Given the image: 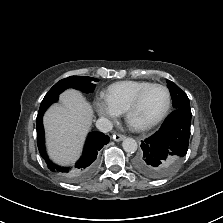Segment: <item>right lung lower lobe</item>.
I'll list each match as a JSON object with an SVG mask.
<instances>
[{
  "instance_id": "right-lung-lower-lobe-1",
  "label": "right lung lower lobe",
  "mask_w": 223,
  "mask_h": 223,
  "mask_svg": "<svg viewBox=\"0 0 223 223\" xmlns=\"http://www.w3.org/2000/svg\"><path fill=\"white\" fill-rule=\"evenodd\" d=\"M58 100L47 102L42 104L39 108V112L36 118L37 127V145L40 150V154L47 163L48 168L57 173L63 180L67 182H79L86 179L94 170L95 160L97 158L98 151L109 142V137L101 132H92L88 135L87 141L84 146L83 154L80 160L75 164L73 169L68 167H60L54 164L48 159L45 151V139L43 128V114L46 109L54 102Z\"/></svg>"
}]
</instances>
